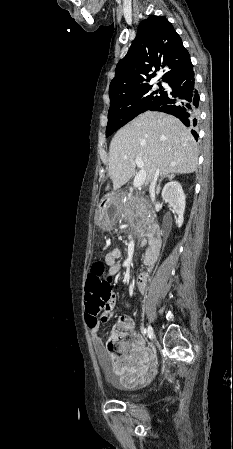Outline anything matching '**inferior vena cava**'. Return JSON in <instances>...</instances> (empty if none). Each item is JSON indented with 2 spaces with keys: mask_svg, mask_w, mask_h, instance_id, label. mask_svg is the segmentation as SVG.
Wrapping results in <instances>:
<instances>
[{
  "mask_svg": "<svg viewBox=\"0 0 233 449\" xmlns=\"http://www.w3.org/2000/svg\"><path fill=\"white\" fill-rule=\"evenodd\" d=\"M158 176H159V173L156 172L154 174V177H153V179L151 181V184H150V187H149L150 197H151V200L153 202L155 201V186H156V182H157Z\"/></svg>",
  "mask_w": 233,
  "mask_h": 449,
  "instance_id": "inferior-vena-cava-1",
  "label": "inferior vena cava"
}]
</instances>
